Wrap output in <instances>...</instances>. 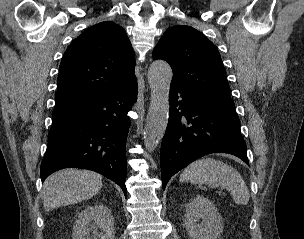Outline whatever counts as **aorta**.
Wrapping results in <instances>:
<instances>
[{
	"label": "aorta",
	"mask_w": 304,
	"mask_h": 239,
	"mask_svg": "<svg viewBox=\"0 0 304 239\" xmlns=\"http://www.w3.org/2000/svg\"><path fill=\"white\" fill-rule=\"evenodd\" d=\"M172 75L170 65L162 60L152 62L148 70L151 98L144 129V145L148 152L155 150L165 134L169 118Z\"/></svg>",
	"instance_id": "aorta-1"
}]
</instances>
